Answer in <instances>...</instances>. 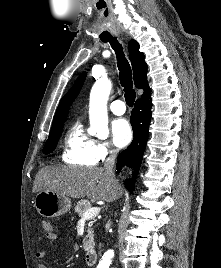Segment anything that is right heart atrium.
<instances>
[{
    "instance_id": "1",
    "label": "right heart atrium",
    "mask_w": 221,
    "mask_h": 268,
    "mask_svg": "<svg viewBox=\"0 0 221 268\" xmlns=\"http://www.w3.org/2000/svg\"><path fill=\"white\" fill-rule=\"evenodd\" d=\"M115 153V149L107 141H95V154L98 161H103Z\"/></svg>"
}]
</instances>
